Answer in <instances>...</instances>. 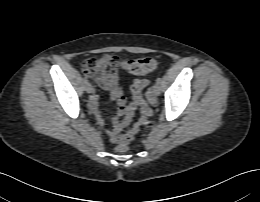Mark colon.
I'll use <instances>...</instances> for the list:
<instances>
[{
	"label": "colon",
	"instance_id": "obj_1",
	"mask_svg": "<svg viewBox=\"0 0 260 202\" xmlns=\"http://www.w3.org/2000/svg\"><path fill=\"white\" fill-rule=\"evenodd\" d=\"M155 67L156 61L153 58H139L119 62L118 58L114 55H106L100 59L91 58L82 63L83 73L100 85L116 79L119 69H123L135 76H142L154 70ZM149 84L148 80L139 79L133 85V100L140 107L141 115L130 130L117 138L118 145L116 150L120 153L127 152V144L135 138L140 129L147 124L151 116L152 110L142 95L143 90Z\"/></svg>",
	"mask_w": 260,
	"mask_h": 202
}]
</instances>
